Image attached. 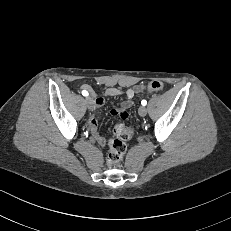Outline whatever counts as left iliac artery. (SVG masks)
Wrapping results in <instances>:
<instances>
[{"instance_id":"1","label":"left iliac artery","mask_w":231,"mask_h":231,"mask_svg":"<svg viewBox=\"0 0 231 231\" xmlns=\"http://www.w3.org/2000/svg\"><path fill=\"white\" fill-rule=\"evenodd\" d=\"M141 104H142L143 106H145V105L147 104V101H146V100H142V101H141Z\"/></svg>"}]
</instances>
